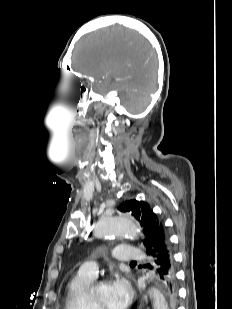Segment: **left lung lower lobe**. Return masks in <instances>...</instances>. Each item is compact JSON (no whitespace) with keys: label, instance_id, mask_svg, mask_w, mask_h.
<instances>
[{"label":"left lung lower lobe","instance_id":"obj_1","mask_svg":"<svg viewBox=\"0 0 232 309\" xmlns=\"http://www.w3.org/2000/svg\"><path fill=\"white\" fill-rule=\"evenodd\" d=\"M146 252L151 257V265L148 267L155 270L165 292V300L167 295L168 299L172 301L170 308L174 309L176 304L173 302V293L177 294L175 266L169 238L165 229L159 230V236L154 245Z\"/></svg>","mask_w":232,"mask_h":309}]
</instances>
